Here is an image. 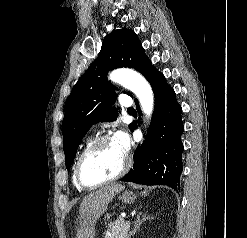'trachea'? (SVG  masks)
Segmentation results:
<instances>
[{
  "mask_svg": "<svg viewBox=\"0 0 247 238\" xmlns=\"http://www.w3.org/2000/svg\"><path fill=\"white\" fill-rule=\"evenodd\" d=\"M130 111H133L134 109L133 108H129Z\"/></svg>",
  "mask_w": 247,
  "mask_h": 238,
  "instance_id": "trachea-1",
  "label": "trachea"
}]
</instances>
